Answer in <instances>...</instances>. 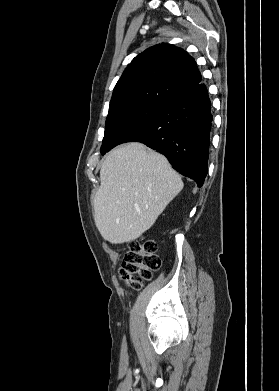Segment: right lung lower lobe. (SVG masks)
<instances>
[{
  "instance_id": "obj_1",
  "label": "right lung lower lobe",
  "mask_w": 279,
  "mask_h": 391,
  "mask_svg": "<svg viewBox=\"0 0 279 391\" xmlns=\"http://www.w3.org/2000/svg\"><path fill=\"white\" fill-rule=\"evenodd\" d=\"M212 120L208 90L199 83L166 102L148 126L125 142L139 141L159 151L201 187L207 175Z\"/></svg>"
}]
</instances>
